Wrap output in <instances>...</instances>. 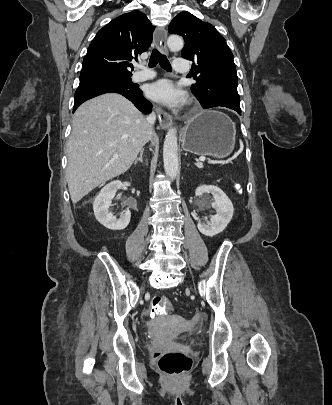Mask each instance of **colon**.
Returning a JSON list of instances; mask_svg holds the SVG:
<instances>
[{
  "mask_svg": "<svg viewBox=\"0 0 332 405\" xmlns=\"http://www.w3.org/2000/svg\"><path fill=\"white\" fill-rule=\"evenodd\" d=\"M171 308V301L166 296L156 295L151 301V312L156 315L166 314ZM158 368L167 375L178 376L187 372L192 366L191 355L184 350H174L156 354Z\"/></svg>",
  "mask_w": 332,
  "mask_h": 405,
  "instance_id": "colon-1",
  "label": "colon"
}]
</instances>
